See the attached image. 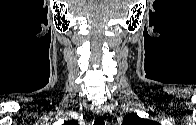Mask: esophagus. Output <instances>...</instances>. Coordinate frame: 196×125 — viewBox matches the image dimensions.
<instances>
[{
	"mask_svg": "<svg viewBox=\"0 0 196 125\" xmlns=\"http://www.w3.org/2000/svg\"><path fill=\"white\" fill-rule=\"evenodd\" d=\"M97 116L98 117H103L104 116V112L102 110H98L97 111Z\"/></svg>",
	"mask_w": 196,
	"mask_h": 125,
	"instance_id": "obj_1",
	"label": "esophagus"
}]
</instances>
